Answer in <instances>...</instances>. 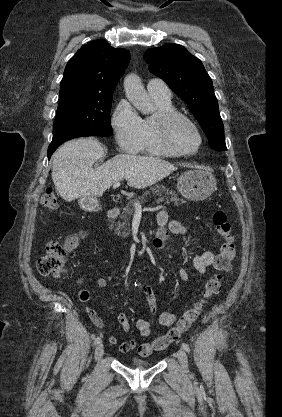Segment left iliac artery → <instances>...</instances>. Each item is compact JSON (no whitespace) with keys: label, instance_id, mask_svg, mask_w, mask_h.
<instances>
[{"label":"left iliac artery","instance_id":"1","mask_svg":"<svg viewBox=\"0 0 282 417\" xmlns=\"http://www.w3.org/2000/svg\"><path fill=\"white\" fill-rule=\"evenodd\" d=\"M182 348L186 351V352H190V347H189V345L188 344H186V343H182Z\"/></svg>","mask_w":282,"mask_h":417}]
</instances>
